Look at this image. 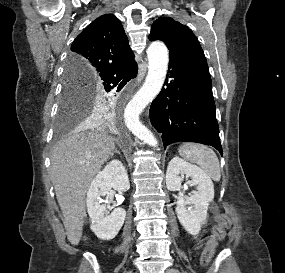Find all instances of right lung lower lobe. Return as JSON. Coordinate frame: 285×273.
<instances>
[{
  "label": "right lung lower lobe",
  "instance_id": "98d812e1",
  "mask_svg": "<svg viewBox=\"0 0 285 273\" xmlns=\"http://www.w3.org/2000/svg\"><path fill=\"white\" fill-rule=\"evenodd\" d=\"M137 75V63L131 60L119 66L111 67L99 72V74L91 79L88 83L96 90L108 95H116L126 83ZM108 105V104H107ZM114 105L110 103L107 107L102 108L103 117H110Z\"/></svg>",
  "mask_w": 285,
  "mask_h": 273
}]
</instances>
